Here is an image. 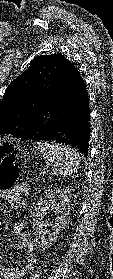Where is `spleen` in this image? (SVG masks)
<instances>
[{
	"mask_svg": "<svg viewBox=\"0 0 113 279\" xmlns=\"http://www.w3.org/2000/svg\"><path fill=\"white\" fill-rule=\"evenodd\" d=\"M36 146L46 163L51 164L61 176H72L79 169L81 154L76 149L54 142H37Z\"/></svg>",
	"mask_w": 113,
	"mask_h": 279,
	"instance_id": "obj_1",
	"label": "spleen"
}]
</instances>
